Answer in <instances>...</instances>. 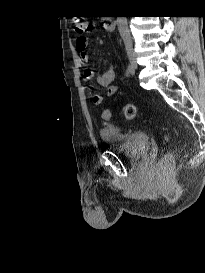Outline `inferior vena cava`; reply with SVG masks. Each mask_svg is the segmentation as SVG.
Wrapping results in <instances>:
<instances>
[{
  "mask_svg": "<svg viewBox=\"0 0 205 273\" xmlns=\"http://www.w3.org/2000/svg\"><path fill=\"white\" fill-rule=\"evenodd\" d=\"M119 33L126 47H132V38L128 28L127 17H117Z\"/></svg>",
  "mask_w": 205,
  "mask_h": 273,
  "instance_id": "602c4592",
  "label": "inferior vena cava"
}]
</instances>
